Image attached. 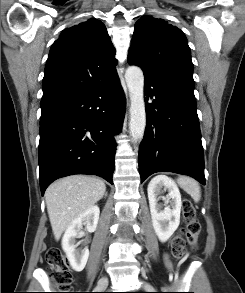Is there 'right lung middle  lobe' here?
Returning a JSON list of instances; mask_svg holds the SVG:
<instances>
[{
    "instance_id": "1",
    "label": "right lung middle lobe",
    "mask_w": 245,
    "mask_h": 293,
    "mask_svg": "<svg viewBox=\"0 0 245 293\" xmlns=\"http://www.w3.org/2000/svg\"><path fill=\"white\" fill-rule=\"evenodd\" d=\"M49 109H42V113H44V112H46V111H48Z\"/></svg>"
}]
</instances>
